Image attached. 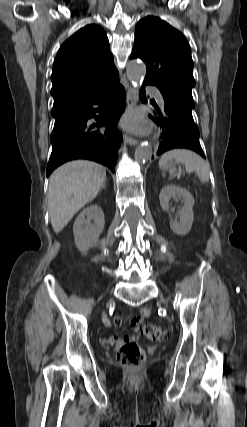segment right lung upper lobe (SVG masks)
Returning a JSON list of instances; mask_svg holds the SVG:
<instances>
[{"label": "right lung upper lobe", "instance_id": "right-lung-upper-lobe-1", "mask_svg": "<svg viewBox=\"0 0 247 427\" xmlns=\"http://www.w3.org/2000/svg\"><path fill=\"white\" fill-rule=\"evenodd\" d=\"M51 80L54 105L91 97L119 80L107 35L100 26L87 25L61 45Z\"/></svg>", "mask_w": 247, "mask_h": 427}]
</instances>
